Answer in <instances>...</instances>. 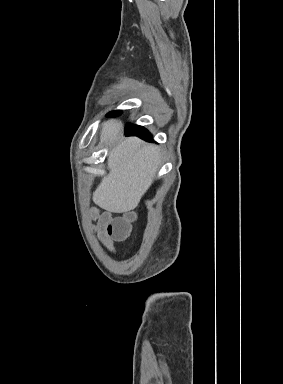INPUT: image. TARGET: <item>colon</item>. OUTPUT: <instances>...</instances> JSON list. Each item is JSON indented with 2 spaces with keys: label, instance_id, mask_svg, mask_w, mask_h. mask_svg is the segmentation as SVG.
Masks as SVG:
<instances>
[{
  "label": "colon",
  "instance_id": "5ec220e1",
  "mask_svg": "<svg viewBox=\"0 0 283 384\" xmlns=\"http://www.w3.org/2000/svg\"><path fill=\"white\" fill-rule=\"evenodd\" d=\"M131 223L132 221L130 217L114 219L109 226L110 235L117 240L126 238L130 234Z\"/></svg>",
  "mask_w": 283,
  "mask_h": 384
}]
</instances>
